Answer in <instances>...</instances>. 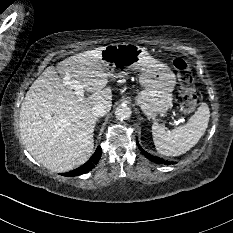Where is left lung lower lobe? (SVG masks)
<instances>
[{"label":"left lung lower lobe","mask_w":233,"mask_h":233,"mask_svg":"<svg viewBox=\"0 0 233 233\" xmlns=\"http://www.w3.org/2000/svg\"><path fill=\"white\" fill-rule=\"evenodd\" d=\"M136 143H137L138 148L141 150V152H142L149 160H151V161H153V162H156V163H158V164H167V165L171 164V163L168 162V161H165V160H163V159H161V158H159V157L153 156V155L149 154L148 152L144 151V150L141 148V146L139 145L138 140H136Z\"/></svg>","instance_id":"left-lung-lower-lobe-1"}]
</instances>
